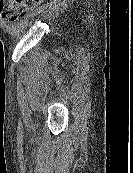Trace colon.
<instances>
[{"label":"colon","instance_id":"1","mask_svg":"<svg viewBox=\"0 0 133 173\" xmlns=\"http://www.w3.org/2000/svg\"><path fill=\"white\" fill-rule=\"evenodd\" d=\"M40 0H0V17L4 20L14 21L25 15L36 2Z\"/></svg>","mask_w":133,"mask_h":173}]
</instances>
